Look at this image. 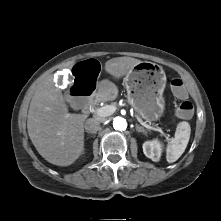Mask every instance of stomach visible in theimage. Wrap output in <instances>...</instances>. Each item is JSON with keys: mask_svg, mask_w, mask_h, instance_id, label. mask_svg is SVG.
<instances>
[{"mask_svg": "<svg viewBox=\"0 0 221 221\" xmlns=\"http://www.w3.org/2000/svg\"><path fill=\"white\" fill-rule=\"evenodd\" d=\"M124 82L128 102L139 116L151 122L163 115L166 75L161 66L142 61L126 74ZM101 90L107 95L112 92L111 86L106 84H102Z\"/></svg>", "mask_w": 221, "mask_h": 221, "instance_id": "1", "label": "stomach"}]
</instances>
